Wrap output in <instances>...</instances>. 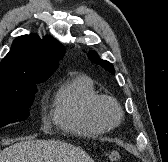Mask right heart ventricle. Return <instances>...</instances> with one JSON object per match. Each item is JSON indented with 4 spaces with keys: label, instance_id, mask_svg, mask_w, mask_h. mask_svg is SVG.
<instances>
[{
    "label": "right heart ventricle",
    "instance_id": "obj_1",
    "mask_svg": "<svg viewBox=\"0 0 168 162\" xmlns=\"http://www.w3.org/2000/svg\"><path fill=\"white\" fill-rule=\"evenodd\" d=\"M97 96L95 84L89 76H67L55 94L54 121L63 129L78 135L94 136L104 133L108 128L92 111Z\"/></svg>",
    "mask_w": 168,
    "mask_h": 162
}]
</instances>
